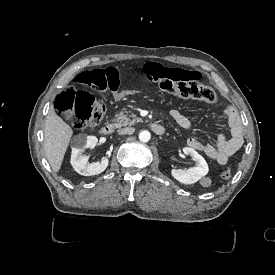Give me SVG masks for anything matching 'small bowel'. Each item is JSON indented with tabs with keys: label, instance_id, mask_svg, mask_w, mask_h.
<instances>
[{
	"label": "small bowel",
	"instance_id": "c3829d8e",
	"mask_svg": "<svg viewBox=\"0 0 275 275\" xmlns=\"http://www.w3.org/2000/svg\"><path fill=\"white\" fill-rule=\"evenodd\" d=\"M144 73L152 80H180L184 81L185 77L192 75L196 77L198 83L203 81V74L195 71H182L173 65L161 66L157 63H148L144 68ZM105 74L109 88L114 94L116 100H121L128 96L126 89H121V81L117 71L112 67L105 69ZM175 123L183 129H192L195 124L185 116L179 109H173L170 112ZM220 118L228 122L229 136L222 132L216 134L215 143H204L194 137L187 140V144L192 149L204 153L219 165H226L231 158L242 146L243 135L242 125L237 109L230 104H224Z\"/></svg>",
	"mask_w": 275,
	"mask_h": 275
}]
</instances>
